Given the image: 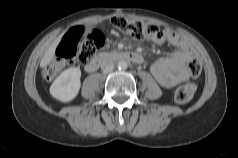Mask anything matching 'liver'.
<instances>
[{
    "label": "liver",
    "mask_w": 238,
    "mask_h": 158,
    "mask_svg": "<svg viewBox=\"0 0 238 158\" xmlns=\"http://www.w3.org/2000/svg\"><path fill=\"white\" fill-rule=\"evenodd\" d=\"M61 37H58L53 43L52 45L47 49V51L45 52L41 62H40V66L46 67L53 59L54 54H55V48L58 45L59 41H60Z\"/></svg>",
    "instance_id": "liver-1"
}]
</instances>
